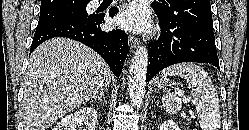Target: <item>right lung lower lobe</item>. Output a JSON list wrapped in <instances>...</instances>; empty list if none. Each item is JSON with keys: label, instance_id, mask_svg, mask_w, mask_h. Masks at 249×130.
I'll return each instance as SVG.
<instances>
[{"label": "right lung lower lobe", "instance_id": "obj_1", "mask_svg": "<svg viewBox=\"0 0 249 130\" xmlns=\"http://www.w3.org/2000/svg\"><path fill=\"white\" fill-rule=\"evenodd\" d=\"M118 12L112 7L109 16ZM104 15H90L86 19L59 21L36 28L30 53L44 41L53 37H67L94 49L107 62L113 74L119 77L127 56L128 37L121 29L110 32L101 30Z\"/></svg>", "mask_w": 249, "mask_h": 130}]
</instances>
